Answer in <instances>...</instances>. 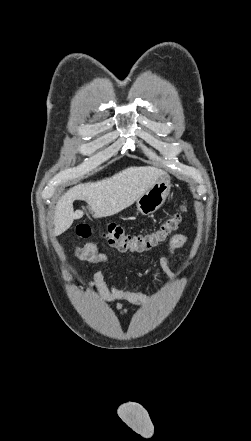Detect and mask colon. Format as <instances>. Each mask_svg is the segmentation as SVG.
Listing matches in <instances>:
<instances>
[{
  "label": "colon",
  "mask_w": 251,
  "mask_h": 441,
  "mask_svg": "<svg viewBox=\"0 0 251 441\" xmlns=\"http://www.w3.org/2000/svg\"><path fill=\"white\" fill-rule=\"evenodd\" d=\"M182 212L185 206L181 207ZM182 223V214L177 213L166 218L156 229L140 232H127L116 223H109L102 230V237L107 243L122 252H143L152 249L167 239L179 228ZM95 232L93 226L88 223H80L76 226V234L81 238H88Z\"/></svg>",
  "instance_id": "1"
}]
</instances>
